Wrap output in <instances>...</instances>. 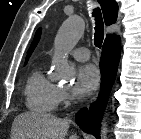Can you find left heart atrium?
I'll return each instance as SVG.
<instances>
[{"instance_id": "1", "label": "left heart atrium", "mask_w": 141, "mask_h": 139, "mask_svg": "<svg viewBox=\"0 0 141 139\" xmlns=\"http://www.w3.org/2000/svg\"><path fill=\"white\" fill-rule=\"evenodd\" d=\"M99 71L92 64L79 67L73 92L76 96L84 98L91 95L99 84Z\"/></svg>"}]
</instances>
